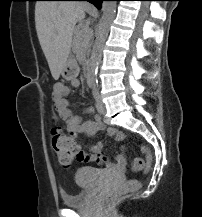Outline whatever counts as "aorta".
<instances>
[{"mask_svg":"<svg viewBox=\"0 0 202 217\" xmlns=\"http://www.w3.org/2000/svg\"><path fill=\"white\" fill-rule=\"evenodd\" d=\"M102 12L103 15L98 27V32L91 55V71L94 75L97 72L98 64L101 60V52L109 32L110 24L115 16L116 1H103Z\"/></svg>","mask_w":202,"mask_h":217,"instance_id":"obj_1","label":"aorta"}]
</instances>
